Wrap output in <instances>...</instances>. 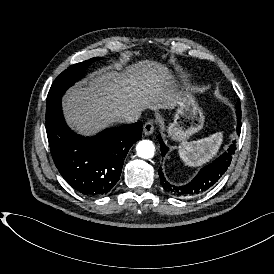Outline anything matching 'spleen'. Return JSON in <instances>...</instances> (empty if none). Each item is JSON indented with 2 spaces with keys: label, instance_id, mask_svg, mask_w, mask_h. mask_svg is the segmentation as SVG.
I'll use <instances>...</instances> for the list:
<instances>
[{
  "label": "spleen",
  "instance_id": "obj_1",
  "mask_svg": "<svg viewBox=\"0 0 274 274\" xmlns=\"http://www.w3.org/2000/svg\"><path fill=\"white\" fill-rule=\"evenodd\" d=\"M222 140V132H217L197 141L182 142L178 153L185 165L190 167L202 166L216 156Z\"/></svg>",
  "mask_w": 274,
  "mask_h": 274
}]
</instances>
